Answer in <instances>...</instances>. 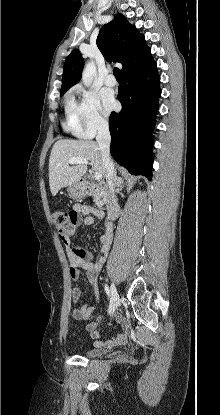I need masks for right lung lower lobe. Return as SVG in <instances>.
<instances>
[{
  "instance_id": "98d812e1",
  "label": "right lung lower lobe",
  "mask_w": 220,
  "mask_h": 415,
  "mask_svg": "<svg viewBox=\"0 0 220 415\" xmlns=\"http://www.w3.org/2000/svg\"><path fill=\"white\" fill-rule=\"evenodd\" d=\"M118 90L122 110L112 112L109 118L110 153L130 173L151 180L152 130L161 95L155 61L152 59L146 65L123 74Z\"/></svg>"
}]
</instances>
